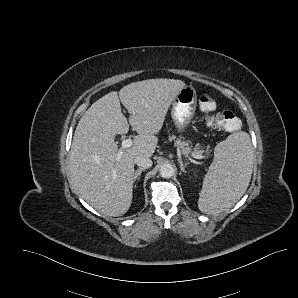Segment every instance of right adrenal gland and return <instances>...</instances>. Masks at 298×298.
Wrapping results in <instances>:
<instances>
[{
    "instance_id": "2a0ac1e0",
    "label": "right adrenal gland",
    "mask_w": 298,
    "mask_h": 298,
    "mask_svg": "<svg viewBox=\"0 0 298 298\" xmlns=\"http://www.w3.org/2000/svg\"><path fill=\"white\" fill-rule=\"evenodd\" d=\"M146 169H147V168L139 167L137 170H135L134 175H133V182H135L136 179L140 178L141 173H142L143 171H145Z\"/></svg>"
}]
</instances>
